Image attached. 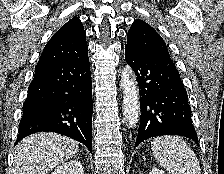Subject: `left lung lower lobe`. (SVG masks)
Listing matches in <instances>:
<instances>
[{
  "instance_id": "obj_1",
  "label": "left lung lower lobe",
  "mask_w": 224,
  "mask_h": 174,
  "mask_svg": "<svg viewBox=\"0 0 224 174\" xmlns=\"http://www.w3.org/2000/svg\"><path fill=\"white\" fill-rule=\"evenodd\" d=\"M125 59L139 85L141 119L135 147L161 135L185 136L198 144L187 92L170 57L125 48Z\"/></svg>"
}]
</instances>
